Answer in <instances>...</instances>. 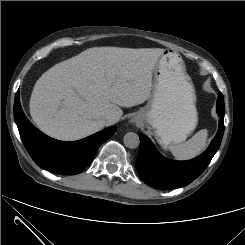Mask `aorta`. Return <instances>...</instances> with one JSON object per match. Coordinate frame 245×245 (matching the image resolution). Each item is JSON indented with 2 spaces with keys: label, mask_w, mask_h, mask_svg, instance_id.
I'll list each match as a JSON object with an SVG mask.
<instances>
[{
  "label": "aorta",
  "mask_w": 245,
  "mask_h": 245,
  "mask_svg": "<svg viewBox=\"0 0 245 245\" xmlns=\"http://www.w3.org/2000/svg\"><path fill=\"white\" fill-rule=\"evenodd\" d=\"M124 144L129 149H136L140 144L139 136L134 132H128L123 138Z\"/></svg>",
  "instance_id": "obj_1"
}]
</instances>
